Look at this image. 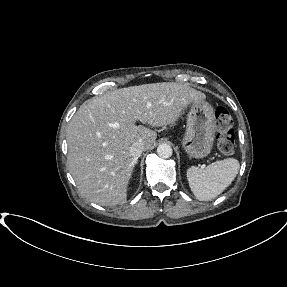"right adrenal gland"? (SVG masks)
<instances>
[{
    "label": "right adrenal gland",
    "instance_id": "1",
    "mask_svg": "<svg viewBox=\"0 0 287 287\" xmlns=\"http://www.w3.org/2000/svg\"><path fill=\"white\" fill-rule=\"evenodd\" d=\"M137 164V161H135V164L134 165H136Z\"/></svg>",
    "mask_w": 287,
    "mask_h": 287
}]
</instances>
